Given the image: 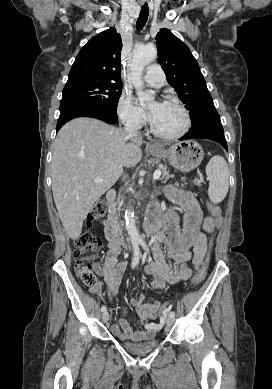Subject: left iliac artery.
<instances>
[{"label": "left iliac artery", "instance_id": "1", "mask_svg": "<svg viewBox=\"0 0 272 389\" xmlns=\"http://www.w3.org/2000/svg\"><path fill=\"white\" fill-rule=\"evenodd\" d=\"M140 244L144 250L149 251L146 243L143 240H140ZM169 316L175 317V313L173 311L170 312Z\"/></svg>", "mask_w": 272, "mask_h": 389}]
</instances>
